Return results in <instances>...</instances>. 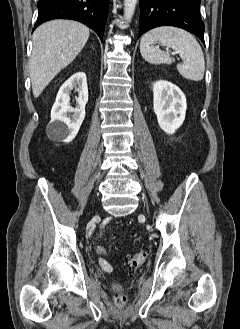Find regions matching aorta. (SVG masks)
I'll return each mask as SVG.
<instances>
[{
  "mask_svg": "<svg viewBox=\"0 0 240 329\" xmlns=\"http://www.w3.org/2000/svg\"><path fill=\"white\" fill-rule=\"evenodd\" d=\"M137 0H124V19L130 21L134 15Z\"/></svg>",
  "mask_w": 240,
  "mask_h": 329,
  "instance_id": "aorta-1",
  "label": "aorta"
}]
</instances>
